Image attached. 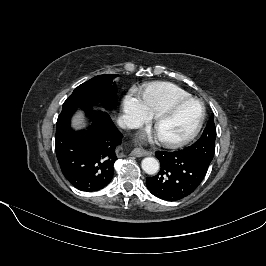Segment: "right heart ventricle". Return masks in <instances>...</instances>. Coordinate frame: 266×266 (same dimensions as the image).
<instances>
[{
	"mask_svg": "<svg viewBox=\"0 0 266 266\" xmlns=\"http://www.w3.org/2000/svg\"><path fill=\"white\" fill-rule=\"evenodd\" d=\"M142 99L152 116H156L173 103L191 98L181 87L169 82H154L142 90Z\"/></svg>",
	"mask_w": 266,
	"mask_h": 266,
	"instance_id": "obj_1",
	"label": "right heart ventricle"
}]
</instances>
